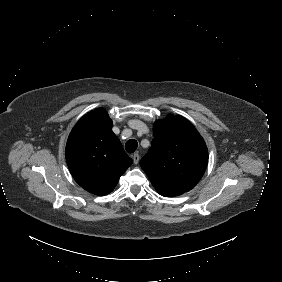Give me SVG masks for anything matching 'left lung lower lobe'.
Instances as JSON below:
<instances>
[{
	"instance_id": "0a47b994",
	"label": "left lung lower lobe",
	"mask_w": 282,
	"mask_h": 282,
	"mask_svg": "<svg viewBox=\"0 0 282 282\" xmlns=\"http://www.w3.org/2000/svg\"><path fill=\"white\" fill-rule=\"evenodd\" d=\"M159 194L166 196V197H173L176 195H180L176 191H169V190H162V191H157Z\"/></svg>"
}]
</instances>
